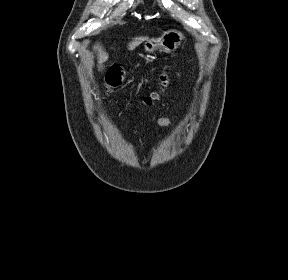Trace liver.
<instances>
[{"instance_id":"obj_1","label":"liver","mask_w":288,"mask_h":280,"mask_svg":"<svg viewBox=\"0 0 288 280\" xmlns=\"http://www.w3.org/2000/svg\"><path fill=\"white\" fill-rule=\"evenodd\" d=\"M144 40H147V38L146 37L135 38L132 42L128 44V49L129 50L134 49ZM94 49L97 51L98 63H104L105 61L108 60V53L104 51L101 45H96Z\"/></svg>"}]
</instances>
